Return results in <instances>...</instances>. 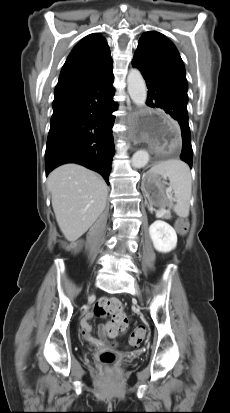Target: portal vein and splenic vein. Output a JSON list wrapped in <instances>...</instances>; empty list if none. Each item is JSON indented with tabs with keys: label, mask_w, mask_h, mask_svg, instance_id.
<instances>
[{
	"label": "portal vein and splenic vein",
	"mask_w": 230,
	"mask_h": 413,
	"mask_svg": "<svg viewBox=\"0 0 230 413\" xmlns=\"http://www.w3.org/2000/svg\"><path fill=\"white\" fill-rule=\"evenodd\" d=\"M166 213V211L164 210V211H162L161 212V214H160V216H162L163 214H165Z\"/></svg>",
	"instance_id": "18ae733b"
}]
</instances>
